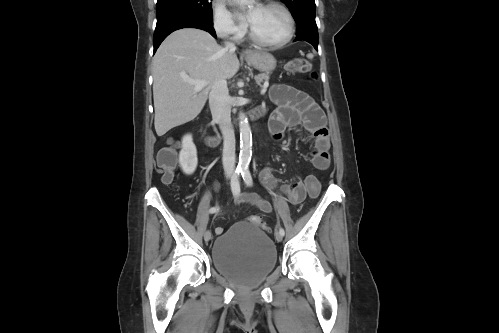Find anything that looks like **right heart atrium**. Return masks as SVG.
I'll list each match as a JSON object with an SVG mask.
<instances>
[{
  "label": "right heart atrium",
  "mask_w": 499,
  "mask_h": 333,
  "mask_svg": "<svg viewBox=\"0 0 499 333\" xmlns=\"http://www.w3.org/2000/svg\"><path fill=\"white\" fill-rule=\"evenodd\" d=\"M212 25L220 37L239 39L244 33V26L235 20L222 0L213 2Z\"/></svg>",
  "instance_id": "1"
}]
</instances>
